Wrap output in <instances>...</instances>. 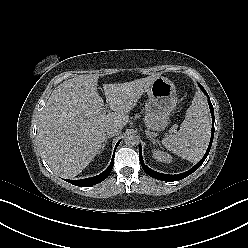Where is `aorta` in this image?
<instances>
[{
  "instance_id": "762f6f07",
  "label": "aorta",
  "mask_w": 248,
  "mask_h": 248,
  "mask_svg": "<svg viewBox=\"0 0 248 248\" xmlns=\"http://www.w3.org/2000/svg\"><path fill=\"white\" fill-rule=\"evenodd\" d=\"M124 141L128 146H135L139 144L140 137L134 132H129L126 134Z\"/></svg>"
}]
</instances>
